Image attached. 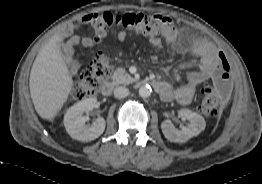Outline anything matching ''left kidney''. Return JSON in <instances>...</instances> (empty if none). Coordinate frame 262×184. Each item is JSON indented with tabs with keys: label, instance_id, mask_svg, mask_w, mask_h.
<instances>
[{
	"label": "left kidney",
	"instance_id": "1",
	"mask_svg": "<svg viewBox=\"0 0 262 184\" xmlns=\"http://www.w3.org/2000/svg\"><path fill=\"white\" fill-rule=\"evenodd\" d=\"M179 116L190 122L187 127H183L181 130L176 129L170 120H165L161 124L165 138L171 142L184 143L190 138L199 135L206 127L204 118L189 109H181Z\"/></svg>",
	"mask_w": 262,
	"mask_h": 184
}]
</instances>
